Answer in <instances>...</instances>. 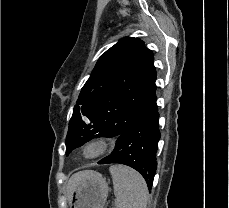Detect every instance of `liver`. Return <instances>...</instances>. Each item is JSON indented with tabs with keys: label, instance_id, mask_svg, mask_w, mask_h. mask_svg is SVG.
Masks as SVG:
<instances>
[{
	"label": "liver",
	"instance_id": "liver-1",
	"mask_svg": "<svg viewBox=\"0 0 229 208\" xmlns=\"http://www.w3.org/2000/svg\"><path fill=\"white\" fill-rule=\"evenodd\" d=\"M96 176H100V174H98V172H93V170H83V172L73 174L67 184L68 196L71 198V194L73 190H75L77 184H82V182H86V180H93Z\"/></svg>",
	"mask_w": 229,
	"mask_h": 208
}]
</instances>
